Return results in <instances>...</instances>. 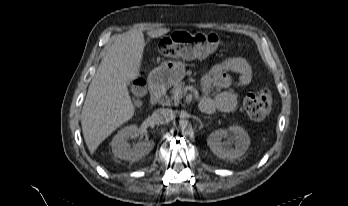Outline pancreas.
<instances>
[{
    "label": "pancreas",
    "instance_id": "pancreas-1",
    "mask_svg": "<svg viewBox=\"0 0 348 206\" xmlns=\"http://www.w3.org/2000/svg\"><path fill=\"white\" fill-rule=\"evenodd\" d=\"M178 91L181 92L182 96L185 94L186 90H185V83L184 82L176 83L174 85V87L170 91V97H167V99H166L167 105L179 103V100H175V98H174L175 93Z\"/></svg>",
    "mask_w": 348,
    "mask_h": 206
}]
</instances>
